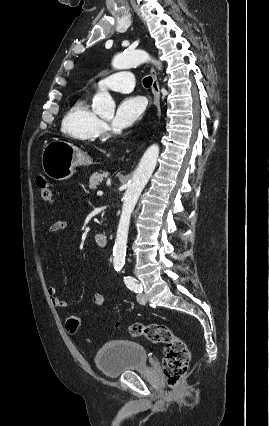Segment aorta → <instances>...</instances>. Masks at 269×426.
Returning a JSON list of instances; mask_svg holds the SVG:
<instances>
[{"mask_svg":"<svg viewBox=\"0 0 269 426\" xmlns=\"http://www.w3.org/2000/svg\"><path fill=\"white\" fill-rule=\"evenodd\" d=\"M145 62H152L159 69L161 68L160 63L153 59L144 50H133L118 54L113 58L112 66L115 69L121 70L128 69ZM92 110L101 117H112L115 112V102L108 92H98L93 98ZM158 157L159 146L157 144H153L147 148L136 170L134 171L132 179L123 196L122 213L117 229L115 245L113 248V260L115 265H121L125 261L126 244L128 240L131 214L135 208L141 192L148 183L156 167Z\"/></svg>","mask_w":269,"mask_h":426,"instance_id":"1","label":"aorta"}]
</instances>
